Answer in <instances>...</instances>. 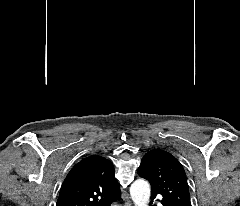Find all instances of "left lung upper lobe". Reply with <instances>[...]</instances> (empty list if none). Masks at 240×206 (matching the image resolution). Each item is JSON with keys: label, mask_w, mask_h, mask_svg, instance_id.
Segmentation results:
<instances>
[{"label": "left lung upper lobe", "mask_w": 240, "mask_h": 206, "mask_svg": "<svg viewBox=\"0 0 240 206\" xmlns=\"http://www.w3.org/2000/svg\"><path fill=\"white\" fill-rule=\"evenodd\" d=\"M137 173L149 181L151 193L162 196L167 206H191L186 174L169 152L153 149L146 153Z\"/></svg>", "instance_id": "left-lung-upper-lobe-1"}]
</instances>
